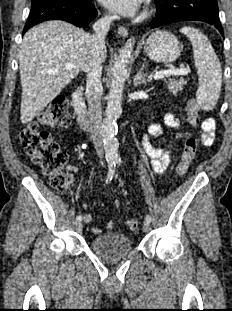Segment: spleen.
<instances>
[{"label": "spleen", "mask_w": 232, "mask_h": 311, "mask_svg": "<svg viewBox=\"0 0 232 311\" xmlns=\"http://www.w3.org/2000/svg\"><path fill=\"white\" fill-rule=\"evenodd\" d=\"M180 32L191 41L195 66L199 77L196 100L204 111L212 110L220 96L222 85L221 63L208 38L194 27H183Z\"/></svg>", "instance_id": "spleen-1"}]
</instances>
